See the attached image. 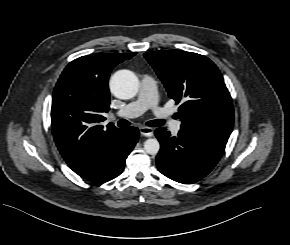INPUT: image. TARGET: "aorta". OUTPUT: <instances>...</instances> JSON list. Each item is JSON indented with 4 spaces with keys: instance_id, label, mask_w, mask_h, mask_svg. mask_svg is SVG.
<instances>
[{
    "instance_id": "obj_1",
    "label": "aorta",
    "mask_w": 290,
    "mask_h": 245,
    "mask_svg": "<svg viewBox=\"0 0 290 245\" xmlns=\"http://www.w3.org/2000/svg\"><path fill=\"white\" fill-rule=\"evenodd\" d=\"M110 88L111 92L117 98H133L138 92V78L129 70H120L112 76L110 80ZM144 150L150 155H156L160 150L159 141L155 138L147 139L144 142Z\"/></svg>"
}]
</instances>
